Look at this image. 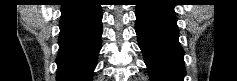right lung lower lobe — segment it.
<instances>
[{"mask_svg": "<svg viewBox=\"0 0 237 81\" xmlns=\"http://www.w3.org/2000/svg\"><path fill=\"white\" fill-rule=\"evenodd\" d=\"M61 13L57 81H91L101 49V6L91 0H68Z\"/></svg>", "mask_w": 237, "mask_h": 81, "instance_id": "1", "label": "right lung lower lobe"}]
</instances>
